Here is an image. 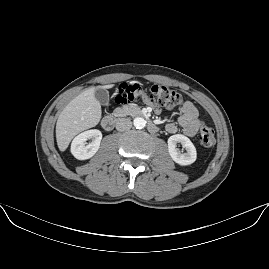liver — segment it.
Here are the masks:
<instances>
[{
    "label": "liver",
    "mask_w": 269,
    "mask_h": 269,
    "mask_svg": "<svg viewBox=\"0 0 269 269\" xmlns=\"http://www.w3.org/2000/svg\"><path fill=\"white\" fill-rule=\"evenodd\" d=\"M114 85L91 87L75 97L60 113L56 123V139L60 151H65L75 135L96 126L101 119V105L95 98L98 89Z\"/></svg>",
    "instance_id": "6515ba94"
}]
</instances>
